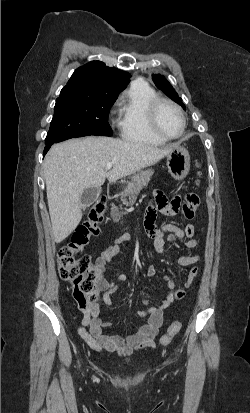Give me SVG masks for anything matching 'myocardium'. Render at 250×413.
Segmentation results:
<instances>
[{
  "label": "myocardium",
  "mask_w": 250,
  "mask_h": 413,
  "mask_svg": "<svg viewBox=\"0 0 250 413\" xmlns=\"http://www.w3.org/2000/svg\"><path fill=\"white\" fill-rule=\"evenodd\" d=\"M163 104H167L173 107L178 112L182 120V129L178 135H175V136L167 135L164 132H162L158 126V122H157L158 111ZM148 125H149L151 132L158 138L163 139L165 141L175 140V139L180 138L186 130V117L181 107L177 105L175 102L167 98L157 97L150 103L149 108H148Z\"/></svg>",
  "instance_id": "1"
}]
</instances>
